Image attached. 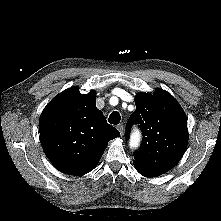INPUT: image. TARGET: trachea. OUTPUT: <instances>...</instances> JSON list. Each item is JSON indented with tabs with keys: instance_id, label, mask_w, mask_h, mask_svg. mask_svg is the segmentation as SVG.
<instances>
[{
	"instance_id": "1",
	"label": "trachea",
	"mask_w": 221,
	"mask_h": 221,
	"mask_svg": "<svg viewBox=\"0 0 221 221\" xmlns=\"http://www.w3.org/2000/svg\"><path fill=\"white\" fill-rule=\"evenodd\" d=\"M120 120H121V116H120L119 112L113 111L109 116L108 122L110 124L117 125V124H119Z\"/></svg>"
}]
</instances>
